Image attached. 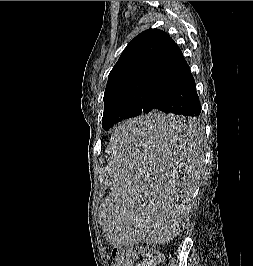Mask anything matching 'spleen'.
<instances>
[{
  "label": "spleen",
  "mask_w": 253,
  "mask_h": 266,
  "mask_svg": "<svg viewBox=\"0 0 253 266\" xmlns=\"http://www.w3.org/2000/svg\"><path fill=\"white\" fill-rule=\"evenodd\" d=\"M196 123L178 111H147L130 117L111 136L113 190L101 210L102 242L112 248H166L187 226L200 174ZM196 132V133H195Z\"/></svg>",
  "instance_id": "spleen-1"
}]
</instances>
